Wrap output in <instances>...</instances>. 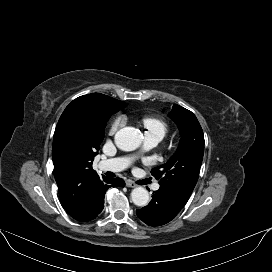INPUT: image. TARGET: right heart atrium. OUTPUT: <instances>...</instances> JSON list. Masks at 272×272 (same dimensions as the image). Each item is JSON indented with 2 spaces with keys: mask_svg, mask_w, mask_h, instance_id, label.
Masks as SVG:
<instances>
[{
  "mask_svg": "<svg viewBox=\"0 0 272 272\" xmlns=\"http://www.w3.org/2000/svg\"><path fill=\"white\" fill-rule=\"evenodd\" d=\"M124 122H125L124 117L122 116L117 117L111 125L110 134H114L118 130V128L124 124Z\"/></svg>",
  "mask_w": 272,
  "mask_h": 272,
  "instance_id": "d8ad5b80",
  "label": "right heart atrium"
}]
</instances>
